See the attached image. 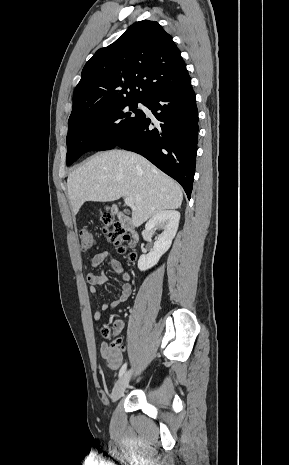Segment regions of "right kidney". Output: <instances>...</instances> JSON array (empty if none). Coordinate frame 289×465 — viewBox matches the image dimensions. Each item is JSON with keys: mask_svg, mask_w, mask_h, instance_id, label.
Returning a JSON list of instances; mask_svg holds the SVG:
<instances>
[{"mask_svg": "<svg viewBox=\"0 0 289 465\" xmlns=\"http://www.w3.org/2000/svg\"><path fill=\"white\" fill-rule=\"evenodd\" d=\"M180 213L175 210H164L155 213L145 224V229L154 232L155 228H161L163 232L154 243L153 251L147 255H141L138 260V268L145 271L156 265L160 257L170 248L172 240L178 230Z\"/></svg>", "mask_w": 289, "mask_h": 465, "instance_id": "obj_1", "label": "right kidney"}]
</instances>
